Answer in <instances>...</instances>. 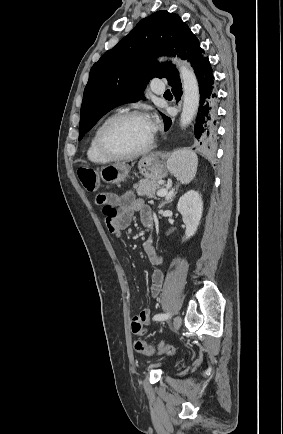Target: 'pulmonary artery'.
Listing matches in <instances>:
<instances>
[{
  "label": "pulmonary artery",
  "instance_id": "pulmonary-artery-1",
  "mask_svg": "<svg viewBox=\"0 0 283 434\" xmlns=\"http://www.w3.org/2000/svg\"><path fill=\"white\" fill-rule=\"evenodd\" d=\"M151 90H152L153 93L160 95V94L164 93L165 86H164V84L162 82L155 81L151 85Z\"/></svg>",
  "mask_w": 283,
  "mask_h": 434
}]
</instances>
